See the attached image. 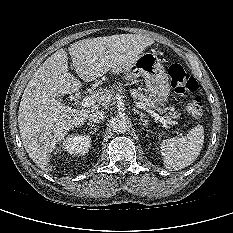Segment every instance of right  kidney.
Masks as SVG:
<instances>
[{
  "instance_id": "right-kidney-1",
  "label": "right kidney",
  "mask_w": 233,
  "mask_h": 233,
  "mask_svg": "<svg viewBox=\"0 0 233 233\" xmlns=\"http://www.w3.org/2000/svg\"><path fill=\"white\" fill-rule=\"evenodd\" d=\"M91 146V138L88 135H70L63 142V148L70 155H85Z\"/></svg>"
}]
</instances>
